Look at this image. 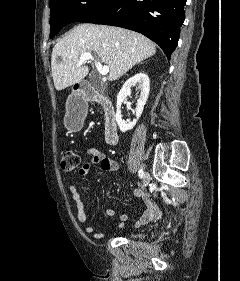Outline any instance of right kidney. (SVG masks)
<instances>
[{"label": "right kidney", "mask_w": 240, "mask_h": 281, "mask_svg": "<svg viewBox=\"0 0 240 281\" xmlns=\"http://www.w3.org/2000/svg\"><path fill=\"white\" fill-rule=\"evenodd\" d=\"M136 84L140 89V96L139 99L137 100V106L135 109L136 119H134L133 122L126 123L122 119L121 104L126 99V97L131 94V88ZM149 91H150V82L148 76L145 73H138L124 83L123 87L121 88V90L117 95V102H116L117 110L115 115L116 122L121 132H126L128 130H131L136 125L137 120L141 116L146 101L148 99Z\"/></svg>", "instance_id": "ca27d5eb"}]
</instances>
